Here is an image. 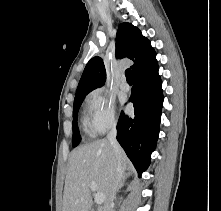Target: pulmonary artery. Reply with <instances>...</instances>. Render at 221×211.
Instances as JSON below:
<instances>
[{
  "instance_id": "1",
  "label": "pulmonary artery",
  "mask_w": 221,
  "mask_h": 211,
  "mask_svg": "<svg viewBox=\"0 0 221 211\" xmlns=\"http://www.w3.org/2000/svg\"><path fill=\"white\" fill-rule=\"evenodd\" d=\"M120 88L123 91H128L129 90V85H128V83L126 81V78L124 76L121 78Z\"/></svg>"
}]
</instances>
